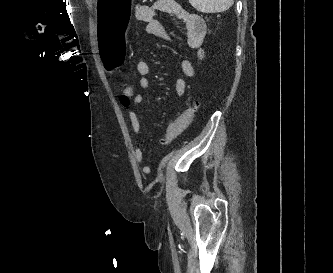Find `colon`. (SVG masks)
<instances>
[{"mask_svg":"<svg viewBox=\"0 0 333 273\" xmlns=\"http://www.w3.org/2000/svg\"><path fill=\"white\" fill-rule=\"evenodd\" d=\"M133 98V87L123 82L120 87V102L123 106H129ZM198 108L197 103L190 105L184 112H182L178 117L172 120L166 129L164 139L162 144H170L174 141L189 125L196 110Z\"/></svg>","mask_w":333,"mask_h":273,"instance_id":"5ec220e1","label":"colon"}]
</instances>
